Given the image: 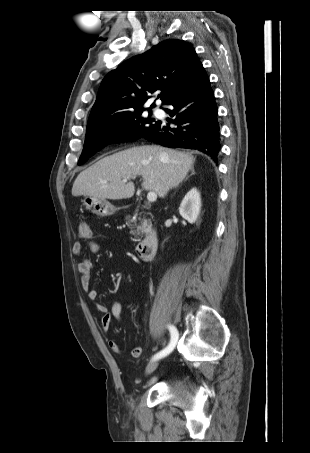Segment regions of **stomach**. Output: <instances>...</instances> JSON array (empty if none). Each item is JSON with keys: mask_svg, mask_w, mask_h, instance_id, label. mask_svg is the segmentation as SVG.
Returning <instances> with one entry per match:
<instances>
[{"mask_svg": "<svg viewBox=\"0 0 310 453\" xmlns=\"http://www.w3.org/2000/svg\"><path fill=\"white\" fill-rule=\"evenodd\" d=\"M83 204L87 210L100 217L110 216L117 211V208L106 199L94 198L92 196H85Z\"/></svg>", "mask_w": 310, "mask_h": 453, "instance_id": "0dacf381", "label": "stomach"}]
</instances>
